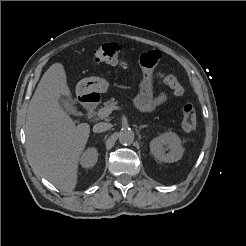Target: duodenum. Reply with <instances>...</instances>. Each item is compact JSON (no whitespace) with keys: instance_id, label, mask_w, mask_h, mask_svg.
<instances>
[{"instance_id":"obj_1","label":"duodenum","mask_w":246,"mask_h":246,"mask_svg":"<svg viewBox=\"0 0 246 246\" xmlns=\"http://www.w3.org/2000/svg\"><path fill=\"white\" fill-rule=\"evenodd\" d=\"M84 107L88 113H92L98 101L96 94H88L83 96Z\"/></svg>"}]
</instances>
